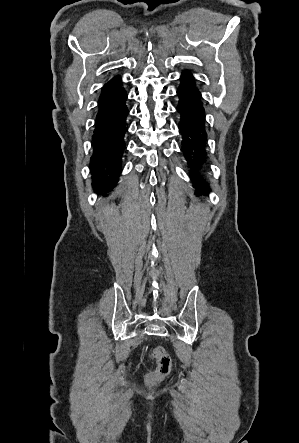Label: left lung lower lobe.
Instances as JSON below:
<instances>
[{
  "mask_svg": "<svg viewBox=\"0 0 299 443\" xmlns=\"http://www.w3.org/2000/svg\"><path fill=\"white\" fill-rule=\"evenodd\" d=\"M177 95L179 96L177 111L181 116L179 130L183 135L182 151L192 169L190 177L197 195L200 192L209 193V183L202 174L207 162L205 114L200 102L201 93L189 71H185L181 75V84Z\"/></svg>",
  "mask_w": 299,
  "mask_h": 443,
  "instance_id": "obj_1",
  "label": "left lung lower lobe"
}]
</instances>
